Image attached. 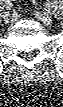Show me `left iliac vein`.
I'll return each instance as SVG.
<instances>
[{"label":"left iliac vein","instance_id":"obj_1","mask_svg":"<svg viewBox=\"0 0 63 107\" xmlns=\"http://www.w3.org/2000/svg\"><path fill=\"white\" fill-rule=\"evenodd\" d=\"M36 18L45 25L49 26L52 24V17L49 14L37 13Z\"/></svg>","mask_w":63,"mask_h":107}]
</instances>
